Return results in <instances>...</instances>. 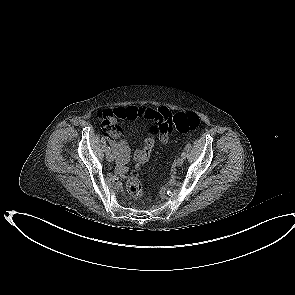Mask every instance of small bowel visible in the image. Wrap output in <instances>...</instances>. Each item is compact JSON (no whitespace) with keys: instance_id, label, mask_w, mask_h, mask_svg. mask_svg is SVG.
Instances as JSON below:
<instances>
[{"instance_id":"c3829d8e","label":"small bowel","mask_w":295,"mask_h":295,"mask_svg":"<svg viewBox=\"0 0 295 295\" xmlns=\"http://www.w3.org/2000/svg\"><path fill=\"white\" fill-rule=\"evenodd\" d=\"M168 114H170L169 111L164 107L153 109L147 106H129L114 110L107 109L98 113L97 116L101 122L102 129L117 156V169L120 174L124 175L127 172L126 164L130 157V149L127 143L120 139L122 126L120 124H116L117 119H145L157 121L159 123ZM170 133L171 132L160 133V140L162 143L165 144L169 141ZM148 136L154 137L152 133H149ZM138 153H143L145 158L150 156V151L147 149L146 139L144 147L142 149H137L133 154V158L136 162H138L136 160V155Z\"/></svg>"}]
</instances>
